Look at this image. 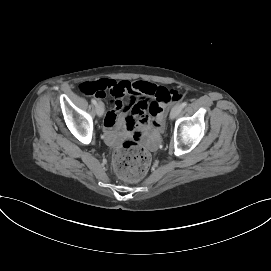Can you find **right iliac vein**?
<instances>
[{
  "mask_svg": "<svg viewBox=\"0 0 271 271\" xmlns=\"http://www.w3.org/2000/svg\"><path fill=\"white\" fill-rule=\"evenodd\" d=\"M96 113L99 117L104 114V105L103 103L99 102L96 104Z\"/></svg>",
  "mask_w": 271,
  "mask_h": 271,
  "instance_id": "1",
  "label": "right iliac vein"
}]
</instances>
